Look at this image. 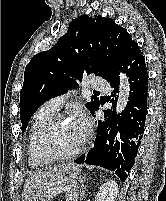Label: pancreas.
Instances as JSON below:
<instances>
[{
  "instance_id": "obj_1",
  "label": "pancreas",
  "mask_w": 166,
  "mask_h": 201,
  "mask_svg": "<svg viewBox=\"0 0 166 201\" xmlns=\"http://www.w3.org/2000/svg\"><path fill=\"white\" fill-rule=\"evenodd\" d=\"M67 201H77L78 199V192L75 188H72L70 191L67 193Z\"/></svg>"
}]
</instances>
